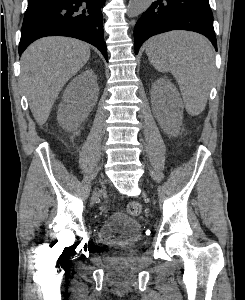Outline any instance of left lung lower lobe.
<instances>
[{"mask_svg":"<svg viewBox=\"0 0 245 300\" xmlns=\"http://www.w3.org/2000/svg\"><path fill=\"white\" fill-rule=\"evenodd\" d=\"M171 30H189L203 34L217 51L213 15L209 0H157L142 14L134 28V48L151 36Z\"/></svg>","mask_w":245,"mask_h":300,"instance_id":"1","label":"left lung lower lobe"}]
</instances>
